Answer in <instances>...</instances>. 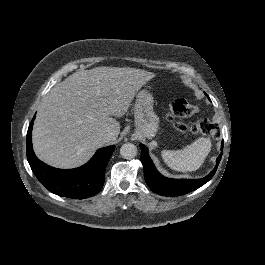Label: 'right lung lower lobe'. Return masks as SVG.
<instances>
[{
  "mask_svg": "<svg viewBox=\"0 0 265 265\" xmlns=\"http://www.w3.org/2000/svg\"><path fill=\"white\" fill-rule=\"evenodd\" d=\"M34 118L27 132V159L30 167L50 192L72 199H85L99 192L104 184L107 163L115 146L99 149L88 163L76 169L64 170L48 166L34 154L31 133Z\"/></svg>",
  "mask_w": 265,
  "mask_h": 265,
  "instance_id": "obj_1",
  "label": "right lung lower lobe"
}]
</instances>
